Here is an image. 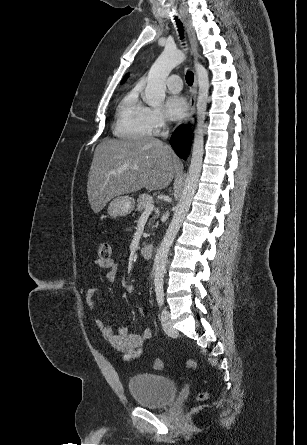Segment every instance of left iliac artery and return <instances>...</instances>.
I'll return each instance as SVG.
<instances>
[{"label": "left iliac artery", "instance_id": "1", "mask_svg": "<svg viewBox=\"0 0 307 445\" xmlns=\"http://www.w3.org/2000/svg\"><path fill=\"white\" fill-rule=\"evenodd\" d=\"M156 298H157L158 305L160 307H162L164 304V291L162 289L156 290Z\"/></svg>", "mask_w": 307, "mask_h": 445}]
</instances>
